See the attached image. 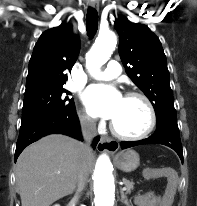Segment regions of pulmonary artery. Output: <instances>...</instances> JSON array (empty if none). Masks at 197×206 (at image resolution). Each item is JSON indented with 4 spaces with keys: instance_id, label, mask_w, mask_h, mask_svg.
<instances>
[{
    "instance_id": "e3ab8cb5",
    "label": "pulmonary artery",
    "mask_w": 197,
    "mask_h": 206,
    "mask_svg": "<svg viewBox=\"0 0 197 206\" xmlns=\"http://www.w3.org/2000/svg\"><path fill=\"white\" fill-rule=\"evenodd\" d=\"M121 65L115 60H111L107 64V68L94 75L96 79L109 80L121 73Z\"/></svg>"
}]
</instances>
